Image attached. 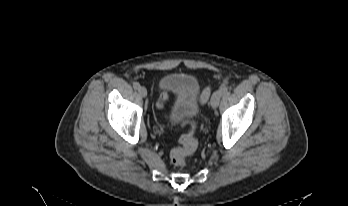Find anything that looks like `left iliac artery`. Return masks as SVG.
I'll return each instance as SVG.
<instances>
[{"label":"left iliac artery","mask_w":348,"mask_h":206,"mask_svg":"<svg viewBox=\"0 0 348 206\" xmlns=\"http://www.w3.org/2000/svg\"><path fill=\"white\" fill-rule=\"evenodd\" d=\"M220 91H221V94H222V95H225V94L227 93V91H228V87L225 86V85H222V86L220 87Z\"/></svg>","instance_id":"obj_1"}]
</instances>
